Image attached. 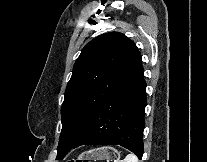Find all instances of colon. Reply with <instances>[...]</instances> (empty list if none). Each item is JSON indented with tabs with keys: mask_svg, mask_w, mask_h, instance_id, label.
<instances>
[{
	"mask_svg": "<svg viewBox=\"0 0 207 162\" xmlns=\"http://www.w3.org/2000/svg\"><path fill=\"white\" fill-rule=\"evenodd\" d=\"M66 162H90L89 160H68Z\"/></svg>",
	"mask_w": 207,
	"mask_h": 162,
	"instance_id": "obj_1",
	"label": "colon"
}]
</instances>
